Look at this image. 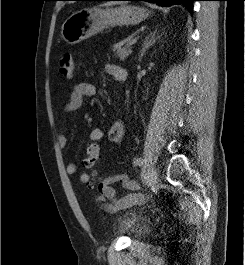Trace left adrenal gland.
<instances>
[{
    "label": "left adrenal gland",
    "instance_id": "left-adrenal-gland-1",
    "mask_svg": "<svg viewBox=\"0 0 245 265\" xmlns=\"http://www.w3.org/2000/svg\"><path fill=\"white\" fill-rule=\"evenodd\" d=\"M160 36L158 35L157 29H155L153 32L148 34L142 44V49L140 51L139 55V61H141L143 55L145 54L146 50H148L151 46H153L157 39H159Z\"/></svg>",
    "mask_w": 245,
    "mask_h": 265
}]
</instances>
